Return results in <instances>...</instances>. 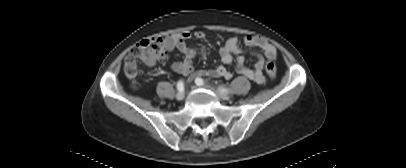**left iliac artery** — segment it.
Instances as JSON below:
<instances>
[{
	"mask_svg": "<svg viewBox=\"0 0 406 168\" xmlns=\"http://www.w3.org/2000/svg\"><path fill=\"white\" fill-rule=\"evenodd\" d=\"M195 83H196L198 86H202V85L204 84V81H203L202 78L197 77V78L195 79ZM218 90H219L221 93H229V90H228L227 88H224V87H221V86L218 87Z\"/></svg>",
	"mask_w": 406,
	"mask_h": 168,
	"instance_id": "1",
	"label": "left iliac artery"
}]
</instances>
